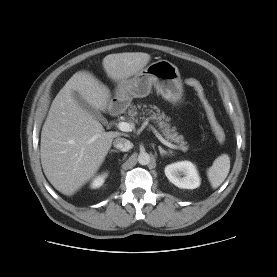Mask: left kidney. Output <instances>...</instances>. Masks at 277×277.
Segmentation results:
<instances>
[{"label": "left kidney", "instance_id": "left-kidney-1", "mask_svg": "<svg viewBox=\"0 0 277 277\" xmlns=\"http://www.w3.org/2000/svg\"><path fill=\"white\" fill-rule=\"evenodd\" d=\"M165 175L171 183L181 189H195L200 186L198 171L190 161H179L167 165Z\"/></svg>", "mask_w": 277, "mask_h": 277}]
</instances>
